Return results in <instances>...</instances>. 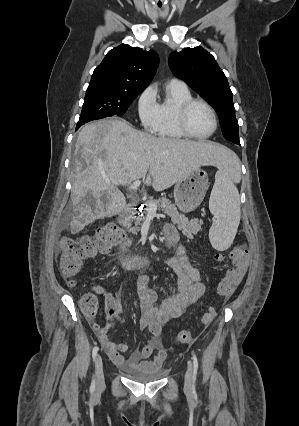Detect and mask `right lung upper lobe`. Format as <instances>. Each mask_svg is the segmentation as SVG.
<instances>
[{
	"label": "right lung upper lobe",
	"instance_id": "obj_1",
	"mask_svg": "<svg viewBox=\"0 0 299 426\" xmlns=\"http://www.w3.org/2000/svg\"><path fill=\"white\" fill-rule=\"evenodd\" d=\"M158 64L155 51L122 44L107 53L94 70L89 85L143 92L153 79Z\"/></svg>",
	"mask_w": 299,
	"mask_h": 426
}]
</instances>
